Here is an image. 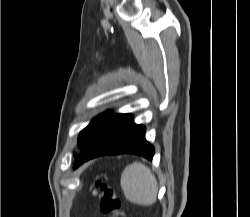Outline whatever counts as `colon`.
<instances>
[{
    "label": "colon",
    "mask_w": 250,
    "mask_h": 217,
    "mask_svg": "<svg viewBox=\"0 0 250 217\" xmlns=\"http://www.w3.org/2000/svg\"><path fill=\"white\" fill-rule=\"evenodd\" d=\"M99 209L107 217H125L122 201L116 191L109 185L96 182Z\"/></svg>",
    "instance_id": "1"
}]
</instances>
